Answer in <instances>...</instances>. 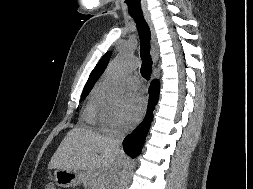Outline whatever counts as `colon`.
<instances>
[{
    "instance_id": "obj_1",
    "label": "colon",
    "mask_w": 253,
    "mask_h": 189,
    "mask_svg": "<svg viewBox=\"0 0 253 189\" xmlns=\"http://www.w3.org/2000/svg\"><path fill=\"white\" fill-rule=\"evenodd\" d=\"M44 189H58V187L54 185L53 183H48L45 185Z\"/></svg>"
}]
</instances>
